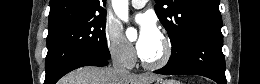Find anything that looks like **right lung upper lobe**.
Masks as SVG:
<instances>
[{
	"mask_svg": "<svg viewBox=\"0 0 260 84\" xmlns=\"http://www.w3.org/2000/svg\"><path fill=\"white\" fill-rule=\"evenodd\" d=\"M106 0H50L48 27L105 12Z\"/></svg>",
	"mask_w": 260,
	"mask_h": 84,
	"instance_id": "right-lung-upper-lobe-1",
	"label": "right lung upper lobe"
}]
</instances>
